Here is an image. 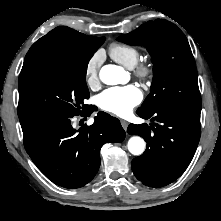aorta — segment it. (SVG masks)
I'll list each match as a JSON object with an SVG mask.
<instances>
[{"label": "aorta", "mask_w": 221, "mask_h": 221, "mask_svg": "<svg viewBox=\"0 0 221 221\" xmlns=\"http://www.w3.org/2000/svg\"><path fill=\"white\" fill-rule=\"evenodd\" d=\"M123 69L117 65H105L101 68L99 76L103 83L116 85L120 83ZM128 150L133 155H141L145 150V142L139 136H133L128 141Z\"/></svg>", "instance_id": "762f6f07"}]
</instances>
